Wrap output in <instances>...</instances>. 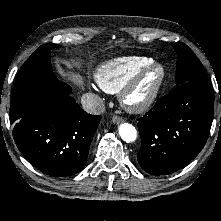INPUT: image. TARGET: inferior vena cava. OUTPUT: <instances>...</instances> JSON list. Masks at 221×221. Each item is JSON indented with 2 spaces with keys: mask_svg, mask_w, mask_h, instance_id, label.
Segmentation results:
<instances>
[{
  "mask_svg": "<svg viewBox=\"0 0 221 221\" xmlns=\"http://www.w3.org/2000/svg\"><path fill=\"white\" fill-rule=\"evenodd\" d=\"M82 108L91 114H102L105 111V105L102 99L92 93L83 94L81 97Z\"/></svg>",
  "mask_w": 221,
  "mask_h": 221,
  "instance_id": "obj_1",
  "label": "inferior vena cava"
}]
</instances>
